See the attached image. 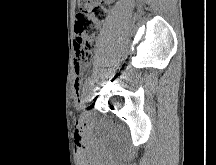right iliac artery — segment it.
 <instances>
[{
	"instance_id": "82829eb1",
	"label": "right iliac artery",
	"mask_w": 216,
	"mask_h": 165,
	"mask_svg": "<svg viewBox=\"0 0 216 165\" xmlns=\"http://www.w3.org/2000/svg\"><path fill=\"white\" fill-rule=\"evenodd\" d=\"M93 79H94V76L93 75H90L89 77H88V81H87V83H86V89L89 91L91 88V84H92V82H93ZM90 97L87 95V96H83L82 97V101L85 103L88 99H89Z\"/></svg>"
}]
</instances>
